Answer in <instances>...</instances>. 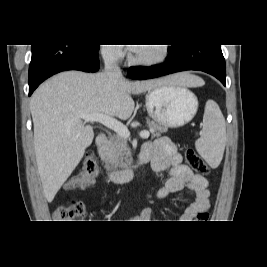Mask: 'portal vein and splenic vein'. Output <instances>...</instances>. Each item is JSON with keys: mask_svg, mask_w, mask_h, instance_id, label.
I'll return each instance as SVG.
<instances>
[{"mask_svg": "<svg viewBox=\"0 0 267 267\" xmlns=\"http://www.w3.org/2000/svg\"><path fill=\"white\" fill-rule=\"evenodd\" d=\"M80 117L84 120V122H99L104 126L114 130L122 138H129L130 136V132L125 125H123L121 122L108 115L102 113H93V114H80ZM149 135H150L149 131L140 132L141 138L147 139Z\"/></svg>", "mask_w": 267, "mask_h": 267, "instance_id": "1", "label": "portal vein and splenic vein"}]
</instances>
